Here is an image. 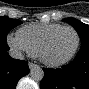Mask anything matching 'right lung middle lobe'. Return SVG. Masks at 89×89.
Masks as SVG:
<instances>
[{"mask_svg": "<svg viewBox=\"0 0 89 89\" xmlns=\"http://www.w3.org/2000/svg\"><path fill=\"white\" fill-rule=\"evenodd\" d=\"M21 23L20 20L10 19L7 16L0 17V44L6 42L8 32Z\"/></svg>", "mask_w": 89, "mask_h": 89, "instance_id": "dd1d6c3e", "label": "right lung middle lobe"}]
</instances>
